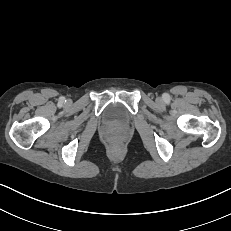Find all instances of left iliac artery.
Returning <instances> with one entry per match:
<instances>
[{"instance_id": "44dca946", "label": "left iliac artery", "mask_w": 231, "mask_h": 231, "mask_svg": "<svg viewBox=\"0 0 231 231\" xmlns=\"http://www.w3.org/2000/svg\"><path fill=\"white\" fill-rule=\"evenodd\" d=\"M163 99H164L165 102H169L170 101V95L167 94V93H164L163 94Z\"/></svg>"}]
</instances>
